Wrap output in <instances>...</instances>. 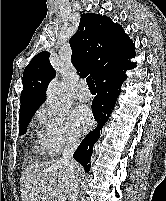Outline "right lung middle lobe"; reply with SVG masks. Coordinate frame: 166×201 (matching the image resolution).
I'll return each instance as SVG.
<instances>
[{"label": "right lung middle lobe", "mask_w": 166, "mask_h": 201, "mask_svg": "<svg viewBox=\"0 0 166 201\" xmlns=\"http://www.w3.org/2000/svg\"><path fill=\"white\" fill-rule=\"evenodd\" d=\"M33 114L34 113L19 118V123H20L19 134L20 135H23L26 133L27 124L30 121V119L32 118Z\"/></svg>", "instance_id": "dd1d6c3e"}]
</instances>
